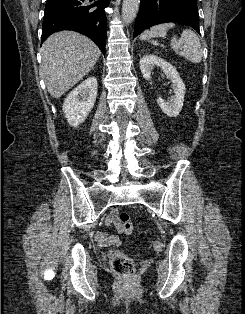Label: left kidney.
<instances>
[{"instance_id":"obj_1","label":"left kidney","mask_w":245,"mask_h":314,"mask_svg":"<svg viewBox=\"0 0 245 314\" xmlns=\"http://www.w3.org/2000/svg\"><path fill=\"white\" fill-rule=\"evenodd\" d=\"M154 66L160 67L166 77L172 82L174 96L168 102H165L161 97L157 99L159 107L169 117L179 115L184 102L185 85L180 78L179 73L170 63L164 61L160 57L152 54H146L140 59V69L143 77L146 80L151 79V73Z\"/></svg>"}]
</instances>
